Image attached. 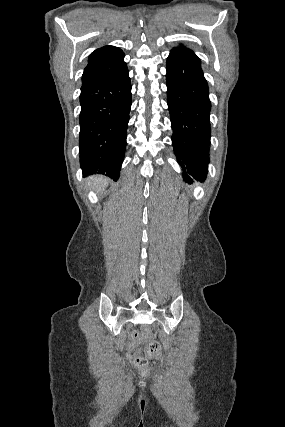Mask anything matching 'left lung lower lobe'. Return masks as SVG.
<instances>
[{
  "label": "left lung lower lobe",
  "instance_id": "0a47b994",
  "mask_svg": "<svg viewBox=\"0 0 285 427\" xmlns=\"http://www.w3.org/2000/svg\"><path fill=\"white\" fill-rule=\"evenodd\" d=\"M200 59L189 51H171L167 58V103L173 129L172 144L183 178L204 181L210 146L208 84Z\"/></svg>",
  "mask_w": 285,
  "mask_h": 427
}]
</instances>
